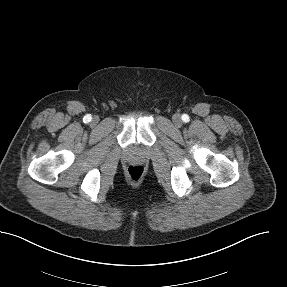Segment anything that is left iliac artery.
I'll list each match as a JSON object with an SVG mask.
<instances>
[{
  "label": "left iliac artery",
  "mask_w": 287,
  "mask_h": 287,
  "mask_svg": "<svg viewBox=\"0 0 287 287\" xmlns=\"http://www.w3.org/2000/svg\"><path fill=\"white\" fill-rule=\"evenodd\" d=\"M182 120L183 122H188L189 121V116L187 114L182 115Z\"/></svg>",
  "instance_id": "left-iliac-artery-1"
}]
</instances>
